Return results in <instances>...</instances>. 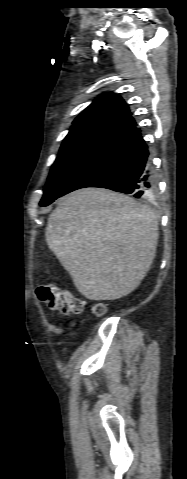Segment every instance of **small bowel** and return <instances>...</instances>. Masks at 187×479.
<instances>
[{
	"label": "small bowel",
	"mask_w": 187,
	"mask_h": 479,
	"mask_svg": "<svg viewBox=\"0 0 187 479\" xmlns=\"http://www.w3.org/2000/svg\"><path fill=\"white\" fill-rule=\"evenodd\" d=\"M66 352H67V348H65V349L63 350V353H66Z\"/></svg>",
	"instance_id": "c3829d8e"
}]
</instances>
